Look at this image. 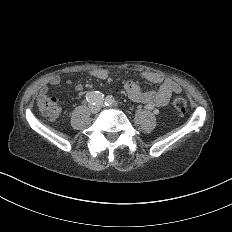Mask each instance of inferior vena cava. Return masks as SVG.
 Segmentation results:
<instances>
[{
  "label": "inferior vena cava",
  "instance_id": "obj_1",
  "mask_svg": "<svg viewBox=\"0 0 232 232\" xmlns=\"http://www.w3.org/2000/svg\"><path fill=\"white\" fill-rule=\"evenodd\" d=\"M90 107H92V111H97L99 109H101V106H98V107H93V104H90Z\"/></svg>",
  "mask_w": 232,
  "mask_h": 232
}]
</instances>
